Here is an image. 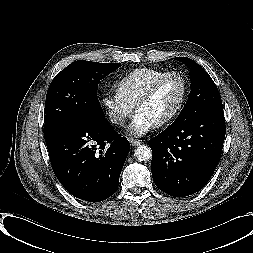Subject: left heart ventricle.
<instances>
[{
  "instance_id": "obj_1",
  "label": "left heart ventricle",
  "mask_w": 253,
  "mask_h": 253,
  "mask_svg": "<svg viewBox=\"0 0 253 253\" xmlns=\"http://www.w3.org/2000/svg\"><path fill=\"white\" fill-rule=\"evenodd\" d=\"M182 82L176 76L166 78L157 88L152 98L137 112L144 114L156 124L171 114L182 97Z\"/></svg>"
}]
</instances>
